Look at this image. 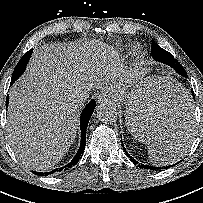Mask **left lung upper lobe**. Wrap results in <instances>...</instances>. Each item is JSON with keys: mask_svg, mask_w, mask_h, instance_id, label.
Returning a JSON list of instances; mask_svg holds the SVG:
<instances>
[{"mask_svg": "<svg viewBox=\"0 0 203 203\" xmlns=\"http://www.w3.org/2000/svg\"><path fill=\"white\" fill-rule=\"evenodd\" d=\"M151 48H152V54H153V52H154L155 50H157V49H162V48H160L154 41H152V46H151ZM183 71H185L184 68H183Z\"/></svg>", "mask_w": 203, "mask_h": 203, "instance_id": "obj_1", "label": "left lung upper lobe"}]
</instances>
